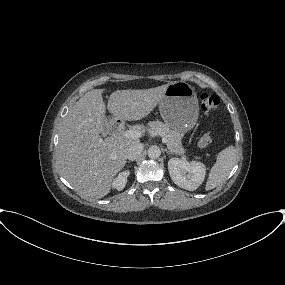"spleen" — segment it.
Wrapping results in <instances>:
<instances>
[{"mask_svg": "<svg viewBox=\"0 0 285 285\" xmlns=\"http://www.w3.org/2000/svg\"><path fill=\"white\" fill-rule=\"evenodd\" d=\"M236 160L237 151L232 145L219 152L216 163L210 170L205 189H214L225 181L234 167Z\"/></svg>", "mask_w": 285, "mask_h": 285, "instance_id": "3e777b00", "label": "spleen"}]
</instances>
